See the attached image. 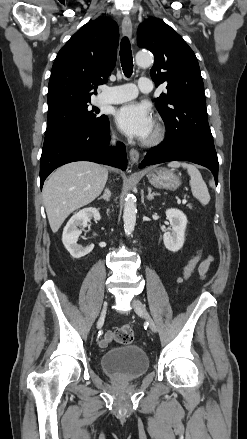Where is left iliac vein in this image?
<instances>
[{
	"mask_svg": "<svg viewBox=\"0 0 247 439\" xmlns=\"http://www.w3.org/2000/svg\"><path fill=\"white\" fill-rule=\"evenodd\" d=\"M132 306H133L136 314L142 318H145L149 324L150 329L153 332H156L157 326H156L155 322L148 316L145 305L139 299H134L132 301Z\"/></svg>",
	"mask_w": 247,
	"mask_h": 439,
	"instance_id": "obj_1",
	"label": "left iliac vein"
}]
</instances>
